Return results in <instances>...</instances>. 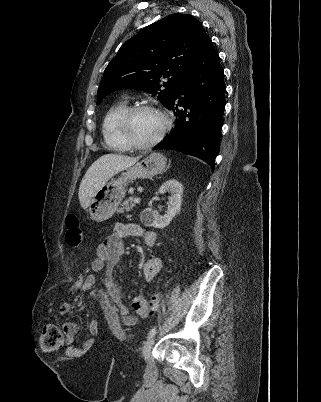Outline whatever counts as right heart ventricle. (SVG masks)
<instances>
[{
  "label": "right heart ventricle",
  "instance_id": "obj_1",
  "mask_svg": "<svg viewBox=\"0 0 321 402\" xmlns=\"http://www.w3.org/2000/svg\"><path fill=\"white\" fill-rule=\"evenodd\" d=\"M129 107L125 100L112 105L104 115L101 125L105 146L115 152H126L130 147L123 141L118 130V121L122 113Z\"/></svg>",
  "mask_w": 321,
  "mask_h": 402
}]
</instances>
